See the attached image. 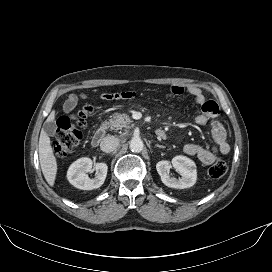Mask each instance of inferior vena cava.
<instances>
[{
    "instance_id": "obj_1",
    "label": "inferior vena cava",
    "mask_w": 272,
    "mask_h": 272,
    "mask_svg": "<svg viewBox=\"0 0 272 272\" xmlns=\"http://www.w3.org/2000/svg\"><path fill=\"white\" fill-rule=\"evenodd\" d=\"M119 146V139L114 136L105 137L101 144L100 148L105 153H110L114 151Z\"/></svg>"
}]
</instances>
